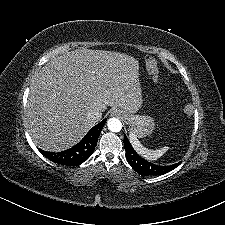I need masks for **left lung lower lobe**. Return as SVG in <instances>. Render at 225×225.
<instances>
[{
	"label": "left lung lower lobe",
	"mask_w": 225,
	"mask_h": 225,
	"mask_svg": "<svg viewBox=\"0 0 225 225\" xmlns=\"http://www.w3.org/2000/svg\"><path fill=\"white\" fill-rule=\"evenodd\" d=\"M124 147L127 160L131 167L144 176L165 174L172 171L180 164L176 163L170 166H160L146 161L135 152L126 135L124 136Z\"/></svg>",
	"instance_id": "1"
}]
</instances>
